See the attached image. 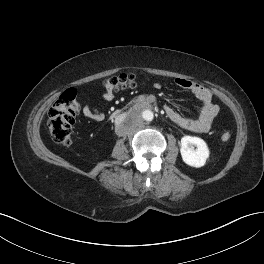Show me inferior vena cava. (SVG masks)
<instances>
[{"mask_svg":"<svg viewBox=\"0 0 264 264\" xmlns=\"http://www.w3.org/2000/svg\"><path fill=\"white\" fill-rule=\"evenodd\" d=\"M124 117H122V116H117V117H115V119H114V125L115 126H117V125H119V124H122L123 122H124Z\"/></svg>","mask_w":264,"mask_h":264,"instance_id":"602c4592","label":"inferior vena cava"}]
</instances>
